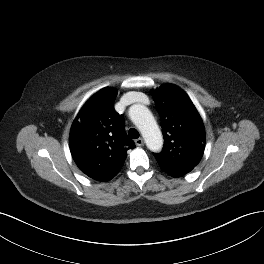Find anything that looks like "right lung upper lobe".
Masks as SVG:
<instances>
[{
    "mask_svg": "<svg viewBox=\"0 0 264 264\" xmlns=\"http://www.w3.org/2000/svg\"><path fill=\"white\" fill-rule=\"evenodd\" d=\"M117 92L104 88L83 106L70 132V151L80 170L108 181L115 177L135 148L124 129V118L114 109Z\"/></svg>",
    "mask_w": 264,
    "mask_h": 264,
    "instance_id": "1",
    "label": "right lung upper lobe"
}]
</instances>
